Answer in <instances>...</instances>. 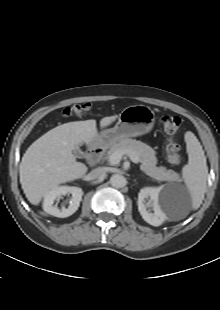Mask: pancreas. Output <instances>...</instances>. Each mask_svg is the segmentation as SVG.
I'll use <instances>...</instances> for the list:
<instances>
[{"mask_svg":"<svg viewBox=\"0 0 220 310\" xmlns=\"http://www.w3.org/2000/svg\"><path fill=\"white\" fill-rule=\"evenodd\" d=\"M116 151H121L124 154L130 152L135 153L141 162L140 169L148 176L158 181H176L178 174L173 170H167L166 167H157L156 152L147 144L135 139L125 138L118 143L113 144L108 152L107 158Z\"/></svg>","mask_w":220,"mask_h":310,"instance_id":"1","label":"pancreas"}]
</instances>
